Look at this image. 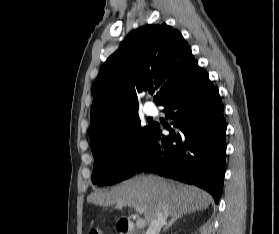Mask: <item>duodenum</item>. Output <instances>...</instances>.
<instances>
[{
	"mask_svg": "<svg viewBox=\"0 0 279 234\" xmlns=\"http://www.w3.org/2000/svg\"><path fill=\"white\" fill-rule=\"evenodd\" d=\"M117 225L120 234H136L134 223L129 219L122 218Z\"/></svg>",
	"mask_w": 279,
	"mask_h": 234,
	"instance_id": "410a0bca",
	"label": "duodenum"
}]
</instances>
